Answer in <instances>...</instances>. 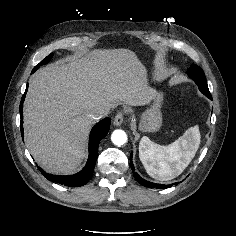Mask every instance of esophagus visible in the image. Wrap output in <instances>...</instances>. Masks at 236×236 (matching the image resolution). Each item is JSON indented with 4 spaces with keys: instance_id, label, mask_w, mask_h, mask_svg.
Listing matches in <instances>:
<instances>
[{
    "instance_id": "1",
    "label": "esophagus",
    "mask_w": 236,
    "mask_h": 236,
    "mask_svg": "<svg viewBox=\"0 0 236 236\" xmlns=\"http://www.w3.org/2000/svg\"><path fill=\"white\" fill-rule=\"evenodd\" d=\"M124 111H119L114 117V125L120 126L124 121Z\"/></svg>"
}]
</instances>
